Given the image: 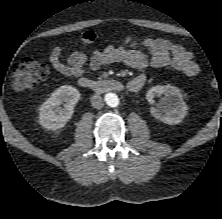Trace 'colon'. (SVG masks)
Masks as SVG:
<instances>
[{"label":"colon","instance_id":"obj_1","mask_svg":"<svg viewBox=\"0 0 222 219\" xmlns=\"http://www.w3.org/2000/svg\"><path fill=\"white\" fill-rule=\"evenodd\" d=\"M50 69L47 63L39 60L32 55L23 56L14 66L12 72V88L16 92H22L27 89L36 87L48 79ZM213 86L217 82L211 80Z\"/></svg>","mask_w":222,"mask_h":219}]
</instances>
